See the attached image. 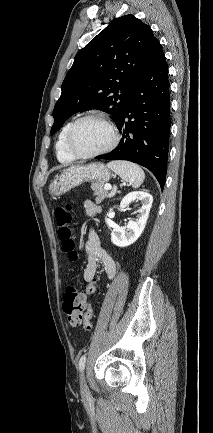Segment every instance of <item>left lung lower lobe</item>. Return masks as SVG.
<instances>
[{"label":"left lung lower lobe","instance_id":"obj_1","mask_svg":"<svg viewBox=\"0 0 213 433\" xmlns=\"http://www.w3.org/2000/svg\"><path fill=\"white\" fill-rule=\"evenodd\" d=\"M168 66L162 46L134 87L118 124L119 145L97 159L127 160L149 169L161 189L166 181L170 134Z\"/></svg>","mask_w":213,"mask_h":433}]
</instances>
